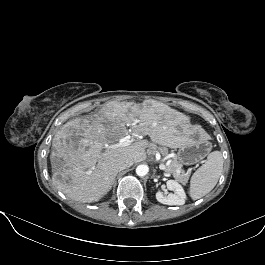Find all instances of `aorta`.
Instances as JSON below:
<instances>
[{"mask_svg":"<svg viewBox=\"0 0 265 265\" xmlns=\"http://www.w3.org/2000/svg\"><path fill=\"white\" fill-rule=\"evenodd\" d=\"M148 171H149V168L145 164H141L137 166L136 168V174L140 177H144L145 175H147Z\"/></svg>","mask_w":265,"mask_h":265,"instance_id":"aorta-1","label":"aorta"}]
</instances>
